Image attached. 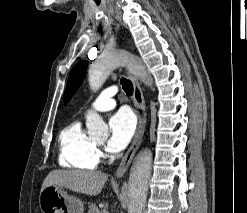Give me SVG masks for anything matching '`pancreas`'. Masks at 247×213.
Listing matches in <instances>:
<instances>
[{"mask_svg": "<svg viewBox=\"0 0 247 213\" xmlns=\"http://www.w3.org/2000/svg\"><path fill=\"white\" fill-rule=\"evenodd\" d=\"M88 208H89L88 213H101V211L99 210V208L96 206L95 203L90 202Z\"/></svg>", "mask_w": 247, "mask_h": 213, "instance_id": "1", "label": "pancreas"}]
</instances>
